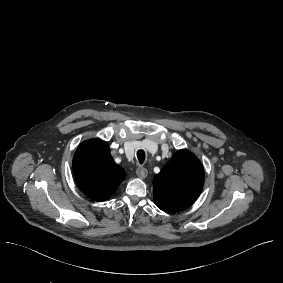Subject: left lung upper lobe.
Masks as SVG:
<instances>
[{
    "mask_svg": "<svg viewBox=\"0 0 283 283\" xmlns=\"http://www.w3.org/2000/svg\"><path fill=\"white\" fill-rule=\"evenodd\" d=\"M204 184L201 162L188 150H179L155 175L154 201L165 212H176L190 206Z\"/></svg>",
    "mask_w": 283,
    "mask_h": 283,
    "instance_id": "obj_1",
    "label": "left lung upper lobe"
}]
</instances>
